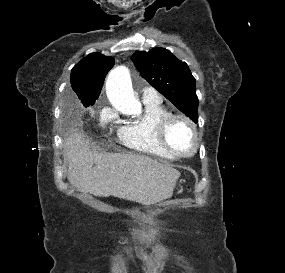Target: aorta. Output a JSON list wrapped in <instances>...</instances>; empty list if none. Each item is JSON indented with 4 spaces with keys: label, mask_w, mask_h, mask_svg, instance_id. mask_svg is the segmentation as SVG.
<instances>
[{
    "label": "aorta",
    "mask_w": 285,
    "mask_h": 273,
    "mask_svg": "<svg viewBox=\"0 0 285 273\" xmlns=\"http://www.w3.org/2000/svg\"><path fill=\"white\" fill-rule=\"evenodd\" d=\"M106 94L112 106L126 115H140L142 106L136 97L130 77L125 66L111 70L106 81Z\"/></svg>",
    "instance_id": "762f6f07"
}]
</instances>
